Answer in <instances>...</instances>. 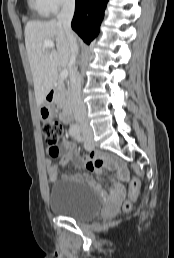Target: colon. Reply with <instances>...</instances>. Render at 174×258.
Returning <instances> with one entry per match:
<instances>
[{"label":"colon","instance_id":"1","mask_svg":"<svg viewBox=\"0 0 174 258\" xmlns=\"http://www.w3.org/2000/svg\"><path fill=\"white\" fill-rule=\"evenodd\" d=\"M42 132L45 142L50 146V154L57 156V143L62 136L63 126L57 121H49L44 123ZM140 193V182L137 178H132L130 182L129 197L122 203V210L127 212L132 208L133 203Z\"/></svg>","mask_w":174,"mask_h":258}]
</instances>
